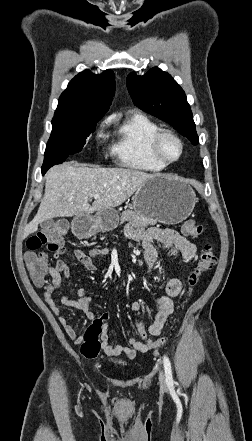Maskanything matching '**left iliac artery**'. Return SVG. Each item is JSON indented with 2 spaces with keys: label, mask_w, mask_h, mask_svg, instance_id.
Returning a JSON list of instances; mask_svg holds the SVG:
<instances>
[{
  "label": "left iliac artery",
  "mask_w": 252,
  "mask_h": 441,
  "mask_svg": "<svg viewBox=\"0 0 252 441\" xmlns=\"http://www.w3.org/2000/svg\"><path fill=\"white\" fill-rule=\"evenodd\" d=\"M163 363H164L167 384L168 385L173 384L171 363L167 356H164Z\"/></svg>",
  "instance_id": "44dca946"
}]
</instances>
